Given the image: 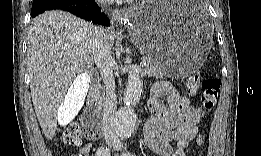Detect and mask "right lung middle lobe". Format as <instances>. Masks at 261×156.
Instances as JSON below:
<instances>
[{
	"instance_id": "dd1d6c3e",
	"label": "right lung middle lobe",
	"mask_w": 261,
	"mask_h": 156,
	"mask_svg": "<svg viewBox=\"0 0 261 156\" xmlns=\"http://www.w3.org/2000/svg\"><path fill=\"white\" fill-rule=\"evenodd\" d=\"M40 1H44V0H34L33 2H40Z\"/></svg>"
}]
</instances>
